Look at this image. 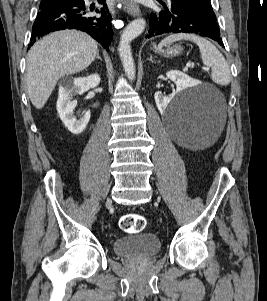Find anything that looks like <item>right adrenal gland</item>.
<instances>
[{"label":"right adrenal gland","mask_w":267,"mask_h":301,"mask_svg":"<svg viewBox=\"0 0 267 301\" xmlns=\"http://www.w3.org/2000/svg\"><path fill=\"white\" fill-rule=\"evenodd\" d=\"M96 59H99L100 61H102V58H101L100 55H99V51L97 52Z\"/></svg>","instance_id":"right-adrenal-gland-1"}]
</instances>
